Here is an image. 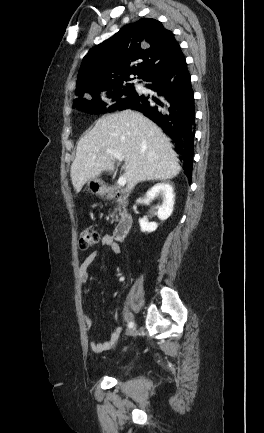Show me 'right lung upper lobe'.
Wrapping results in <instances>:
<instances>
[{"label":"right lung upper lobe","mask_w":264,"mask_h":433,"mask_svg":"<svg viewBox=\"0 0 264 433\" xmlns=\"http://www.w3.org/2000/svg\"><path fill=\"white\" fill-rule=\"evenodd\" d=\"M180 52L173 33L156 19L142 18L125 25L84 57L77 77L76 101L122 86L131 80L130 74L143 79Z\"/></svg>","instance_id":"right-lung-upper-lobe-1"}]
</instances>
